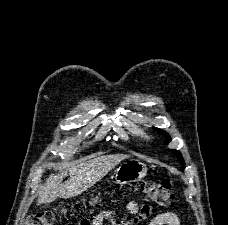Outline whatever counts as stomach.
<instances>
[{
	"label": "stomach",
	"mask_w": 228,
	"mask_h": 225,
	"mask_svg": "<svg viewBox=\"0 0 228 225\" xmlns=\"http://www.w3.org/2000/svg\"><path fill=\"white\" fill-rule=\"evenodd\" d=\"M147 171V165L137 159H129L116 169L114 177L117 185H129V183H137V181L144 179Z\"/></svg>",
	"instance_id": "stomach-1"
}]
</instances>
